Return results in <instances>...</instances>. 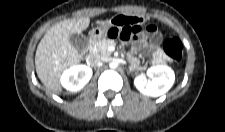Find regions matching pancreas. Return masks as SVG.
I'll use <instances>...</instances> for the list:
<instances>
[{
  "label": "pancreas",
  "instance_id": "pancreas-1",
  "mask_svg": "<svg viewBox=\"0 0 225 132\" xmlns=\"http://www.w3.org/2000/svg\"><path fill=\"white\" fill-rule=\"evenodd\" d=\"M116 43L110 39H102L99 40L90 47V50L93 54H98L104 57L110 56L111 51H109V47L115 46Z\"/></svg>",
  "mask_w": 225,
  "mask_h": 132
}]
</instances>
